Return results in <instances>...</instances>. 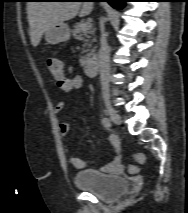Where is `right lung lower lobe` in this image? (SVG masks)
Masks as SVG:
<instances>
[{
	"label": "right lung lower lobe",
	"mask_w": 188,
	"mask_h": 213,
	"mask_svg": "<svg viewBox=\"0 0 188 213\" xmlns=\"http://www.w3.org/2000/svg\"><path fill=\"white\" fill-rule=\"evenodd\" d=\"M78 1V0H75ZM80 1H105L108 2L112 7L117 9H122L125 5V2L129 0H80Z\"/></svg>",
	"instance_id": "right-lung-lower-lobe-1"
}]
</instances>
